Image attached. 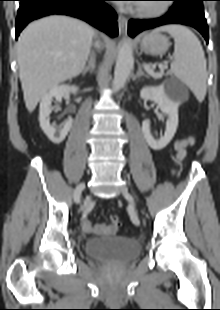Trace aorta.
<instances>
[{"label": "aorta", "mask_w": 220, "mask_h": 310, "mask_svg": "<svg viewBox=\"0 0 220 310\" xmlns=\"http://www.w3.org/2000/svg\"><path fill=\"white\" fill-rule=\"evenodd\" d=\"M133 67V52L129 41L125 42L118 52L116 66L114 70L113 88L120 90L131 72Z\"/></svg>", "instance_id": "obj_1"}]
</instances>
